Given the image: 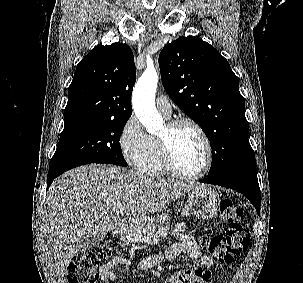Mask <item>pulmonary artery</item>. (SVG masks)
<instances>
[{
    "instance_id": "pulmonary-artery-1",
    "label": "pulmonary artery",
    "mask_w": 303,
    "mask_h": 283,
    "mask_svg": "<svg viewBox=\"0 0 303 283\" xmlns=\"http://www.w3.org/2000/svg\"><path fill=\"white\" fill-rule=\"evenodd\" d=\"M156 106H157L158 111L162 115H164L165 117L171 116V114H172L171 103L165 96L161 95V96L157 97Z\"/></svg>"
}]
</instances>
